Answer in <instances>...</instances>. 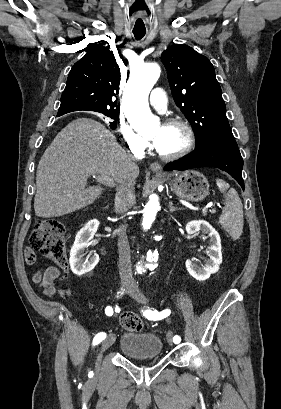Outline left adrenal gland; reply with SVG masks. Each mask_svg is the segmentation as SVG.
<instances>
[{
    "mask_svg": "<svg viewBox=\"0 0 281 409\" xmlns=\"http://www.w3.org/2000/svg\"><path fill=\"white\" fill-rule=\"evenodd\" d=\"M169 211L170 213H174V211H181V209H177V207H173V202H169Z\"/></svg>",
    "mask_w": 281,
    "mask_h": 409,
    "instance_id": "1",
    "label": "left adrenal gland"
}]
</instances>
